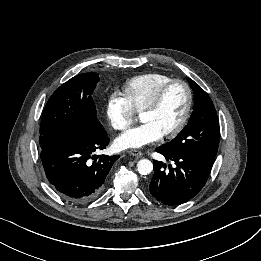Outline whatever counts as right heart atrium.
I'll return each mask as SVG.
<instances>
[{"mask_svg": "<svg viewBox=\"0 0 261 261\" xmlns=\"http://www.w3.org/2000/svg\"><path fill=\"white\" fill-rule=\"evenodd\" d=\"M106 116L114 129L124 131L132 124L135 111L124 95L113 93L107 100Z\"/></svg>", "mask_w": 261, "mask_h": 261, "instance_id": "d8ad5b80", "label": "right heart atrium"}]
</instances>
